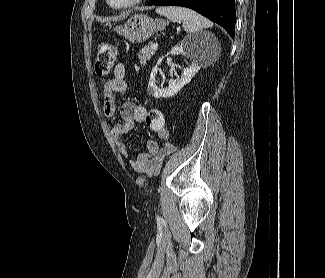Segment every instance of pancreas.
<instances>
[{"instance_id":"cf45deb5","label":"pancreas","mask_w":325,"mask_h":278,"mask_svg":"<svg viewBox=\"0 0 325 278\" xmlns=\"http://www.w3.org/2000/svg\"><path fill=\"white\" fill-rule=\"evenodd\" d=\"M157 48L153 49L149 45L142 48V50L137 54L141 65H145L147 61L155 54Z\"/></svg>"}]
</instances>
